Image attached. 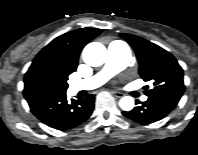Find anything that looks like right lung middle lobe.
I'll return each instance as SVG.
<instances>
[{"label":"right lung middle lobe","instance_id":"obj_1","mask_svg":"<svg viewBox=\"0 0 198 155\" xmlns=\"http://www.w3.org/2000/svg\"><path fill=\"white\" fill-rule=\"evenodd\" d=\"M68 73L42 71L35 78V84L42 95L65 93L68 84Z\"/></svg>","mask_w":198,"mask_h":155}]
</instances>
